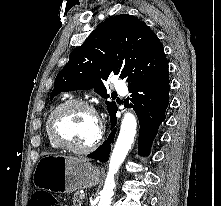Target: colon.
<instances>
[{"mask_svg":"<svg viewBox=\"0 0 221 206\" xmlns=\"http://www.w3.org/2000/svg\"><path fill=\"white\" fill-rule=\"evenodd\" d=\"M29 206H60V204L51 194L41 190L32 195Z\"/></svg>","mask_w":221,"mask_h":206,"instance_id":"obj_1","label":"colon"}]
</instances>
